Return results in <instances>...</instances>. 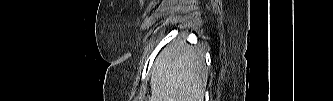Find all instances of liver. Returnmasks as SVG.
Here are the masks:
<instances>
[{
  "mask_svg": "<svg viewBox=\"0 0 333 101\" xmlns=\"http://www.w3.org/2000/svg\"><path fill=\"white\" fill-rule=\"evenodd\" d=\"M207 79L203 50L171 43L154 63L149 101H203Z\"/></svg>",
  "mask_w": 333,
  "mask_h": 101,
  "instance_id": "1",
  "label": "liver"
}]
</instances>
